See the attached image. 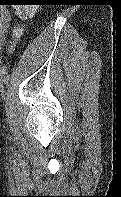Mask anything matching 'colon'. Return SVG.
Listing matches in <instances>:
<instances>
[{"instance_id": "1", "label": "colon", "mask_w": 121, "mask_h": 197, "mask_svg": "<svg viewBox=\"0 0 121 197\" xmlns=\"http://www.w3.org/2000/svg\"><path fill=\"white\" fill-rule=\"evenodd\" d=\"M35 0H15V4L13 5L15 14L20 19H28L33 16L35 12ZM22 27L16 26L13 30V36L15 39H18L22 35ZM13 50V43L9 48V52Z\"/></svg>"}]
</instances>
